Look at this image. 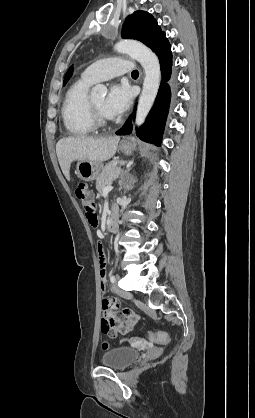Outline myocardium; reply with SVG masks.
<instances>
[{"label":"myocardium","instance_id":"f54148a6","mask_svg":"<svg viewBox=\"0 0 255 418\" xmlns=\"http://www.w3.org/2000/svg\"><path fill=\"white\" fill-rule=\"evenodd\" d=\"M89 111L91 120L95 127H105L109 124V120L101 114V112L93 104L91 98H89Z\"/></svg>","mask_w":255,"mask_h":418}]
</instances>
